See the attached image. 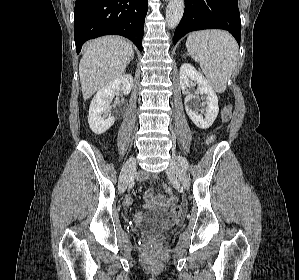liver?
<instances>
[{"label": "liver", "mask_w": 299, "mask_h": 280, "mask_svg": "<svg viewBox=\"0 0 299 280\" xmlns=\"http://www.w3.org/2000/svg\"><path fill=\"white\" fill-rule=\"evenodd\" d=\"M132 44L117 36H105L89 41L84 46L79 64L83 99L124 73L131 55Z\"/></svg>", "instance_id": "1"}]
</instances>
